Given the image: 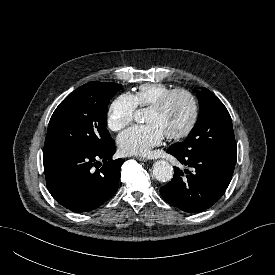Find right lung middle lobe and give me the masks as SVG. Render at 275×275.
<instances>
[{
  "label": "right lung middle lobe",
  "mask_w": 275,
  "mask_h": 275,
  "mask_svg": "<svg viewBox=\"0 0 275 275\" xmlns=\"http://www.w3.org/2000/svg\"><path fill=\"white\" fill-rule=\"evenodd\" d=\"M120 87L94 81L73 91L50 119L44 150L98 152L106 148L113 141L106 129L107 107Z\"/></svg>",
  "instance_id": "obj_1"
}]
</instances>
